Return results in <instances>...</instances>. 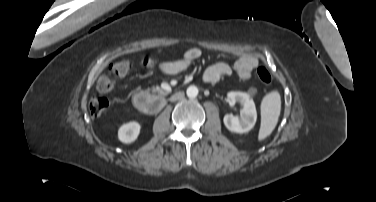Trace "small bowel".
I'll list each match as a JSON object with an SVG mask.
<instances>
[{"label":"small bowel","mask_w":376,"mask_h":202,"mask_svg":"<svg viewBox=\"0 0 376 202\" xmlns=\"http://www.w3.org/2000/svg\"><path fill=\"white\" fill-rule=\"evenodd\" d=\"M202 56L199 48L193 47L185 51L183 58L176 61H167L159 65V70L165 75H177L188 69ZM258 58L249 53H244L231 66L226 62H218L206 67L202 72V80L206 83H216L231 75L235 71L242 79H248L252 70L258 65Z\"/></svg>","instance_id":"obj_1"}]
</instances>
